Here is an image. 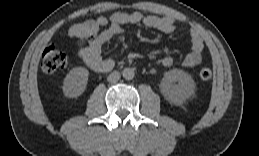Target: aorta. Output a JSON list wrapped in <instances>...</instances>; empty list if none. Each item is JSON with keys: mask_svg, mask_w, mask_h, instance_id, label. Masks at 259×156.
I'll return each mask as SVG.
<instances>
[{"mask_svg": "<svg viewBox=\"0 0 259 156\" xmlns=\"http://www.w3.org/2000/svg\"><path fill=\"white\" fill-rule=\"evenodd\" d=\"M122 76L126 80H131L135 76V71L133 68H124L122 71Z\"/></svg>", "mask_w": 259, "mask_h": 156, "instance_id": "aorta-1", "label": "aorta"}]
</instances>
